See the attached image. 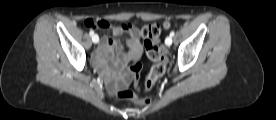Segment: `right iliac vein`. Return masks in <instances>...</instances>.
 <instances>
[{
  "mask_svg": "<svg viewBox=\"0 0 276 120\" xmlns=\"http://www.w3.org/2000/svg\"><path fill=\"white\" fill-rule=\"evenodd\" d=\"M97 39H98V35H94V36H92V41L94 42V43H98L97 42Z\"/></svg>",
  "mask_w": 276,
  "mask_h": 120,
  "instance_id": "1",
  "label": "right iliac vein"
}]
</instances>
